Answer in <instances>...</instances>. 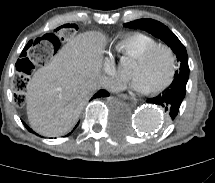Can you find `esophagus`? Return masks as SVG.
Listing matches in <instances>:
<instances>
[{
  "label": "esophagus",
  "mask_w": 215,
  "mask_h": 183,
  "mask_svg": "<svg viewBox=\"0 0 215 183\" xmlns=\"http://www.w3.org/2000/svg\"><path fill=\"white\" fill-rule=\"evenodd\" d=\"M119 97L122 98V99H131V97L128 94H125V93L119 94Z\"/></svg>",
  "instance_id": "obj_1"
}]
</instances>
